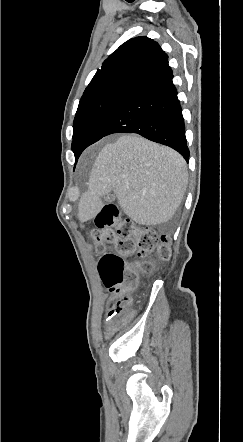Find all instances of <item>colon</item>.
Returning <instances> with one entry per match:
<instances>
[{"label": "colon", "instance_id": "colon-1", "mask_svg": "<svg viewBox=\"0 0 243 442\" xmlns=\"http://www.w3.org/2000/svg\"><path fill=\"white\" fill-rule=\"evenodd\" d=\"M95 226L91 237L95 250L102 254L98 271L104 287L112 295L109 303L116 326L132 317L129 294L138 288L142 274L152 265L148 261L127 263L120 256L132 255L137 250L143 258L154 256L166 261L172 255L171 242L167 235L158 234L153 228L135 229L129 220L120 217L114 203H105L95 216ZM110 247L120 256L107 252Z\"/></svg>", "mask_w": 243, "mask_h": 442}]
</instances>
